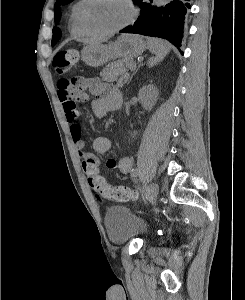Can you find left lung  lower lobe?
Returning a JSON list of instances; mask_svg holds the SVG:
<instances>
[{
  "instance_id": "left-lung-lower-lobe-1",
  "label": "left lung lower lobe",
  "mask_w": 245,
  "mask_h": 300,
  "mask_svg": "<svg viewBox=\"0 0 245 300\" xmlns=\"http://www.w3.org/2000/svg\"><path fill=\"white\" fill-rule=\"evenodd\" d=\"M188 1L190 0H174L164 7H156L150 2L134 0L141 9L140 16L133 26L120 30V33L164 38L179 48L183 38L185 16L187 10L191 8Z\"/></svg>"
}]
</instances>
